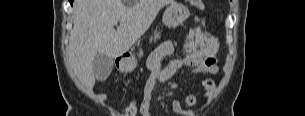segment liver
I'll return each instance as SVG.
<instances>
[{
	"label": "liver",
	"mask_w": 305,
	"mask_h": 116,
	"mask_svg": "<svg viewBox=\"0 0 305 116\" xmlns=\"http://www.w3.org/2000/svg\"><path fill=\"white\" fill-rule=\"evenodd\" d=\"M174 0H75L69 62L79 81L95 85L97 54L116 58L126 53L149 29L160 9ZM119 22L117 30L114 22Z\"/></svg>",
	"instance_id": "1"
}]
</instances>
